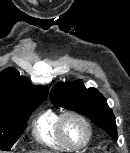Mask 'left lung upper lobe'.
I'll return each mask as SVG.
<instances>
[{
  "label": "left lung upper lobe",
  "instance_id": "left-lung-upper-lobe-1",
  "mask_svg": "<svg viewBox=\"0 0 130 153\" xmlns=\"http://www.w3.org/2000/svg\"><path fill=\"white\" fill-rule=\"evenodd\" d=\"M50 97L58 106L87 116L117 139L115 116L107 100L95 88H85L81 80L58 83L52 88Z\"/></svg>",
  "mask_w": 130,
  "mask_h": 153
}]
</instances>
